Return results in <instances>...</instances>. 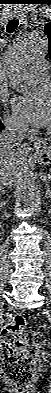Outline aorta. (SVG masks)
<instances>
[{"mask_svg": "<svg viewBox=\"0 0 51 393\" xmlns=\"http://www.w3.org/2000/svg\"><path fill=\"white\" fill-rule=\"evenodd\" d=\"M48 53V40L44 33L31 32L18 36L9 51L10 65L22 68L44 57ZM30 148L18 149L15 159L19 169L18 180L21 198L25 207L33 213L41 211L42 201L38 186L28 165Z\"/></svg>", "mask_w": 51, "mask_h": 393, "instance_id": "1", "label": "aorta"}]
</instances>
